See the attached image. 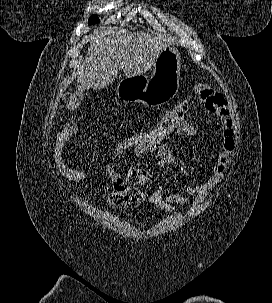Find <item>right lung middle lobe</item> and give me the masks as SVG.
Instances as JSON below:
<instances>
[{
  "label": "right lung middle lobe",
  "mask_w": 272,
  "mask_h": 303,
  "mask_svg": "<svg viewBox=\"0 0 272 303\" xmlns=\"http://www.w3.org/2000/svg\"><path fill=\"white\" fill-rule=\"evenodd\" d=\"M97 22H99L98 17H97L96 15H92V16L90 17V19H89V23H90V24H95V23H97Z\"/></svg>",
  "instance_id": "1"
}]
</instances>
